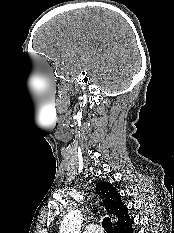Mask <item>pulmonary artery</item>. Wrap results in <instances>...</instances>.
Returning <instances> with one entry per match:
<instances>
[{"label": "pulmonary artery", "mask_w": 174, "mask_h": 233, "mask_svg": "<svg viewBox=\"0 0 174 233\" xmlns=\"http://www.w3.org/2000/svg\"><path fill=\"white\" fill-rule=\"evenodd\" d=\"M84 233H103V229L98 224L91 223L84 228Z\"/></svg>", "instance_id": "pulmonary-artery-1"}]
</instances>
